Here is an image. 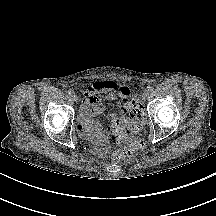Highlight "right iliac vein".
Here are the masks:
<instances>
[{
    "label": "right iliac vein",
    "mask_w": 216,
    "mask_h": 216,
    "mask_svg": "<svg viewBox=\"0 0 216 216\" xmlns=\"http://www.w3.org/2000/svg\"><path fill=\"white\" fill-rule=\"evenodd\" d=\"M71 98H72V100H73L74 102H77V101H78V97H77V95L74 94V93L71 95Z\"/></svg>",
    "instance_id": "63e3f726"
}]
</instances>
